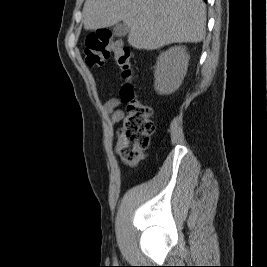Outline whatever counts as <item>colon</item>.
<instances>
[{
    "label": "colon",
    "instance_id": "obj_1",
    "mask_svg": "<svg viewBox=\"0 0 267 267\" xmlns=\"http://www.w3.org/2000/svg\"><path fill=\"white\" fill-rule=\"evenodd\" d=\"M111 56L125 80L120 97L126 104V114L118 131L116 150L124 164L135 166L149 145L154 124L151 120L152 108L137 98L132 84L131 50L121 40L113 38L106 29L87 36L85 60L88 66H103Z\"/></svg>",
    "mask_w": 267,
    "mask_h": 267
}]
</instances>
